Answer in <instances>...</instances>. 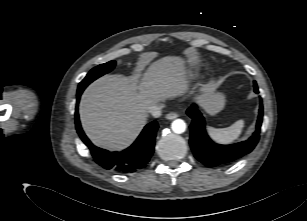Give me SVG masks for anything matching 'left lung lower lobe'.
<instances>
[{
    "label": "left lung lower lobe",
    "mask_w": 307,
    "mask_h": 221,
    "mask_svg": "<svg viewBox=\"0 0 307 221\" xmlns=\"http://www.w3.org/2000/svg\"><path fill=\"white\" fill-rule=\"evenodd\" d=\"M254 91L258 93V87L254 82ZM187 114L192 118L190 125V145L194 156L207 167L229 164L250 153L259 140V133L263 119V105H260L256 131L247 140L229 146L218 145L211 141L206 134L205 121L197 105L193 104Z\"/></svg>",
    "instance_id": "1"
}]
</instances>
